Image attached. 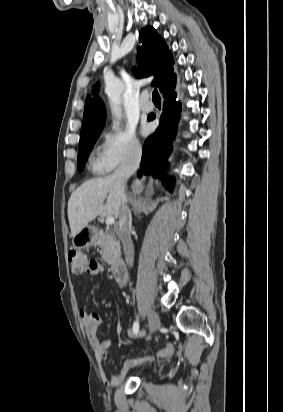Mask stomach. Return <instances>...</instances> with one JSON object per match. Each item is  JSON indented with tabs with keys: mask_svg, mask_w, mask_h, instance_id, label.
I'll list each match as a JSON object with an SVG mask.
<instances>
[{
	"mask_svg": "<svg viewBox=\"0 0 283 412\" xmlns=\"http://www.w3.org/2000/svg\"><path fill=\"white\" fill-rule=\"evenodd\" d=\"M97 242L96 230L91 226L84 227L72 238V244L77 249L88 248Z\"/></svg>",
	"mask_w": 283,
	"mask_h": 412,
	"instance_id": "1",
	"label": "stomach"
}]
</instances>
